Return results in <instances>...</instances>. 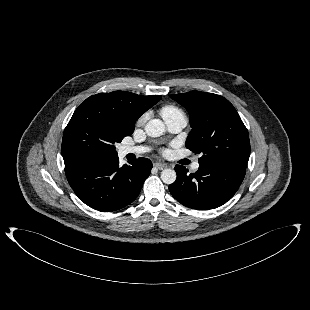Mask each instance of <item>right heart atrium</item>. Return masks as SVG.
<instances>
[{"label":"right heart atrium","instance_id":"1","mask_svg":"<svg viewBox=\"0 0 310 310\" xmlns=\"http://www.w3.org/2000/svg\"><path fill=\"white\" fill-rule=\"evenodd\" d=\"M144 119H145V117L143 116V117H141L140 119H139V124H141V123H143V121H144Z\"/></svg>","mask_w":310,"mask_h":310}]
</instances>
